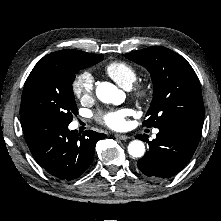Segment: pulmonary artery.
<instances>
[{"label":"pulmonary artery","instance_id":"pulmonary-artery-1","mask_svg":"<svg viewBox=\"0 0 221 221\" xmlns=\"http://www.w3.org/2000/svg\"><path fill=\"white\" fill-rule=\"evenodd\" d=\"M158 133V130H154V135H156Z\"/></svg>","mask_w":221,"mask_h":221}]
</instances>
